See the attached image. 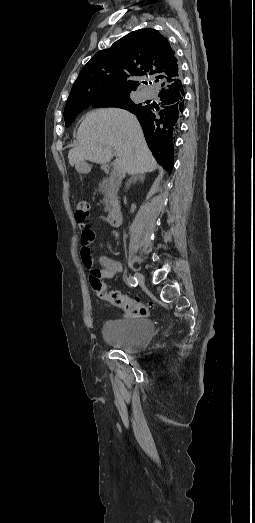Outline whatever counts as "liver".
<instances>
[{
  "mask_svg": "<svg viewBox=\"0 0 255 523\" xmlns=\"http://www.w3.org/2000/svg\"><path fill=\"white\" fill-rule=\"evenodd\" d=\"M76 140L79 144L70 150L68 160L80 174L89 172L85 160L108 164L113 158V150L118 156L117 170L122 174L137 176L157 168L136 116L126 110L102 108L90 112L81 122Z\"/></svg>",
  "mask_w": 255,
  "mask_h": 523,
  "instance_id": "1",
  "label": "liver"
}]
</instances>
